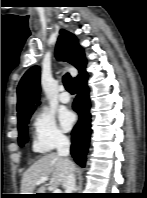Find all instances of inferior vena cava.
Instances as JSON below:
<instances>
[{
	"instance_id": "1",
	"label": "inferior vena cava",
	"mask_w": 147,
	"mask_h": 198,
	"mask_svg": "<svg viewBox=\"0 0 147 198\" xmlns=\"http://www.w3.org/2000/svg\"><path fill=\"white\" fill-rule=\"evenodd\" d=\"M57 153L59 156L63 157L69 165L72 164V162L68 158L70 153V142L69 139L64 135L58 138ZM75 184H76V179L74 172L70 170L68 172L66 182L64 184L65 193H73L75 190Z\"/></svg>"
}]
</instances>
